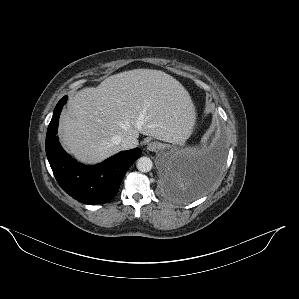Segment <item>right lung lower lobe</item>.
<instances>
[{"label":"right lung lower lobe","mask_w":299,"mask_h":299,"mask_svg":"<svg viewBox=\"0 0 299 299\" xmlns=\"http://www.w3.org/2000/svg\"><path fill=\"white\" fill-rule=\"evenodd\" d=\"M66 100L64 96L58 102L48 126L45 144L48 161L57 182L71 197L85 204L107 203L117 194L125 173L141 156V150L122 151L95 166L76 162L63 150L56 136Z\"/></svg>","instance_id":"1"}]
</instances>
